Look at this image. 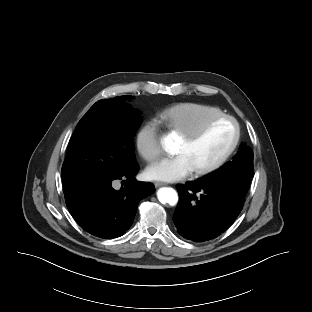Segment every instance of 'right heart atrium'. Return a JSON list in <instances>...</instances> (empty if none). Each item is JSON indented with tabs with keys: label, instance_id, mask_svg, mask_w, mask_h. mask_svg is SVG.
Segmentation results:
<instances>
[{
	"label": "right heart atrium",
	"instance_id": "1",
	"mask_svg": "<svg viewBox=\"0 0 312 312\" xmlns=\"http://www.w3.org/2000/svg\"><path fill=\"white\" fill-rule=\"evenodd\" d=\"M136 144L139 153L148 162H153L161 155L160 124L156 118H150L142 124Z\"/></svg>",
	"mask_w": 312,
	"mask_h": 312
}]
</instances>
